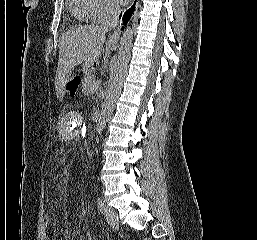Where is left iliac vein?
<instances>
[{
  "instance_id": "1",
  "label": "left iliac vein",
  "mask_w": 257,
  "mask_h": 240,
  "mask_svg": "<svg viewBox=\"0 0 257 240\" xmlns=\"http://www.w3.org/2000/svg\"><path fill=\"white\" fill-rule=\"evenodd\" d=\"M104 216H105L106 221L110 225L118 226V223H119L118 215H117V212L113 208L105 205L104 206Z\"/></svg>"
}]
</instances>
